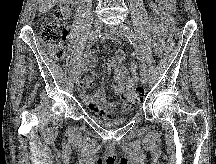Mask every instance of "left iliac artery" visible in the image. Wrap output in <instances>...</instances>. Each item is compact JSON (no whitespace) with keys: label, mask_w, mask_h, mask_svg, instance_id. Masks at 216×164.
<instances>
[{"label":"left iliac artery","mask_w":216,"mask_h":164,"mask_svg":"<svg viewBox=\"0 0 216 164\" xmlns=\"http://www.w3.org/2000/svg\"><path fill=\"white\" fill-rule=\"evenodd\" d=\"M125 30L127 31V33H128V39H129V41H130V43L134 46V47H136L137 46V44H136V35H135V33H134V31L129 27V26H127L126 28H125ZM136 56H137V58L138 59H140L141 57H139V54L136 52ZM139 66H140V68L142 69V70H145V67L143 66V64L140 62L139 64H138Z\"/></svg>","instance_id":"obj_1"}]
</instances>
